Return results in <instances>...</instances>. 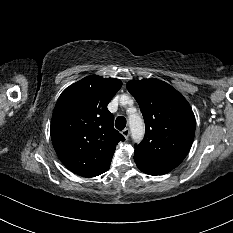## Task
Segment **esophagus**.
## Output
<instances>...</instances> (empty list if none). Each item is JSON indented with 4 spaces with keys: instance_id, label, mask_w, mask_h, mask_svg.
<instances>
[{
    "instance_id": "obj_1",
    "label": "esophagus",
    "mask_w": 233,
    "mask_h": 233,
    "mask_svg": "<svg viewBox=\"0 0 233 233\" xmlns=\"http://www.w3.org/2000/svg\"><path fill=\"white\" fill-rule=\"evenodd\" d=\"M129 129L128 128H125L123 131H122V135L125 137V139L127 140L128 137H129Z\"/></svg>"
}]
</instances>
